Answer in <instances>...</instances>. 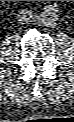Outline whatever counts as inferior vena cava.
Here are the masks:
<instances>
[{"instance_id":"obj_1","label":"inferior vena cava","mask_w":74,"mask_h":122,"mask_svg":"<svg viewBox=\"0 0 74 122\" xmlns=\"http://www.w3.org/2000/svg\"><path fill=\"white\" fill-rule=\"evenodd\" d=\"M32 15V12L31 11H28V10H22L20 13H19V19L22 23H25V22H28L30 20L29 17H31ZM29 16V17H28Z\"/></svg>"}]
</instances>
